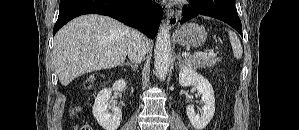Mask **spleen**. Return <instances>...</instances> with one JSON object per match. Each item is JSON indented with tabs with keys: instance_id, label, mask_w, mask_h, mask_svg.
Instances as JSON below:
<instances>
[{
	"instance_id": "spleen-1",
	"label": "spleen",
	"mask_w": 299,
	"mask_h": 130,
	"mask_svg": "<svg viewBox=\"0 0 299 130\" xmlns=\"http://www.w3.org/2000/svg\"><path fill=\"white\" fill-rule=\"evenodd\" d=\"M228 34H229L230 44H231V47L233 50L234 57L236 59H240L243 54V49H242L240 40L234 32L228 30Z\"/></svg>"
}]
</instances>
